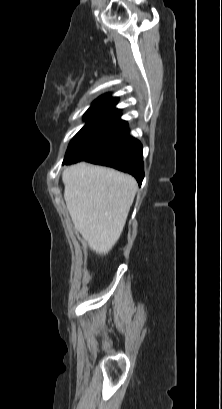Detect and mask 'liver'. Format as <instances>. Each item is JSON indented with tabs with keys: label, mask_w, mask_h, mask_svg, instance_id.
<instances>
[{
	"label": "liver",
	"mask_w": 222,
	"mask_h": 409,
	"mask_svg": "<svg viewBox=\"0 0 222 409\" xmlns=\"http://www.w3.org/2000/svg\"><path fill=\"white\" fill-rule=\"evenodd\" d=\"M64 199L75 229L91 250L107 254L119 240L137 191L136 180L81 162L62 173Z\"/></svg>",
	"instance_id": "obj_1"
}]
</instances>
